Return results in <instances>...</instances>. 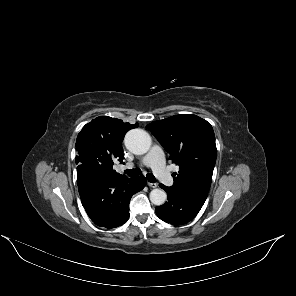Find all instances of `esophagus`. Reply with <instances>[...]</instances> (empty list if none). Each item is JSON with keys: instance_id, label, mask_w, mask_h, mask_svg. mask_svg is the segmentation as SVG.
Returning <instances> with one entry per match:
<instances>
[{"instance_id": "obj_1", "label": "esophagus", "mask_w": 296, "mask_h": 296, "mask_svg": "<svg viewBox=\"0 0 296 296\" xmlns=\"http://www.w3.org/2000/svg\"><path fill=\"white\" fill-rule=\"evenodd\" d=\"M147 185H148L149 187H151V188H156V187H158V184H157V183H150V182H148Z\"/></svg>"}]
</instances>
